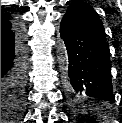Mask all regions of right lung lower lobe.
<instances>
[{
  "mask_svg": "<svg viewBox=\"0 0 122 123\" xmlns=\"http://www.w3.org/2000/svg\"><path fill=\"white\" fill-rule=\"evenodd\" d=\"M26 45L23 33L14 21L1 22V98L22 97L26 84Z\"/></svg>",
  "mask_w": 122,
  "mask_h": 123,
  "instance_id": "obj_1",
  "label": "right lung lower lobe"
}]
</instances>
